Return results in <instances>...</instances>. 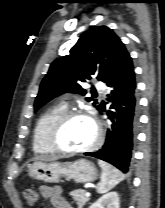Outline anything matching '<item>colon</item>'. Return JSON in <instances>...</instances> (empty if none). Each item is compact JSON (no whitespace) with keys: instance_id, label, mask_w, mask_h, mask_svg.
<instances>
[{"instance_id":"colon-1","label":"colon","mask_w":165,"mask_h":208,"mask_svg":"<svg viewBox=\"0 0 165 208\" xmlns=\"http://www.w3.org/2000/svg\"><path fill=\"white\" fill-rule=\"evenodd\" d=\"M24 197L26 199L27 204L31 207L35 206L38 202L37 193L31 189H26L24 191Z\"/></svg>"}]
</instances>
